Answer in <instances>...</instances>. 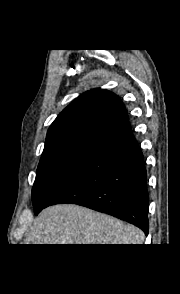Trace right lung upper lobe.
Returning <instances> with one entry per match:
<instances>
[{
    "label": "right lung upper lobe",
    "mask_w": 180,
    "mask_h": 294,
    "mask_svg": "<svg viewBox=\"0 0 180 294\" xmlns=\"http://www.w3.org/2000/svg\"><path fill=\"white\" fill-rule=\"evenodd\" d=\"M127 121V111L114 93L103 89L87 91L51 124L44 149L74 140L101 142Z\"/></svg>",
    "instance_id": "obj_1"
}]
</instances>
